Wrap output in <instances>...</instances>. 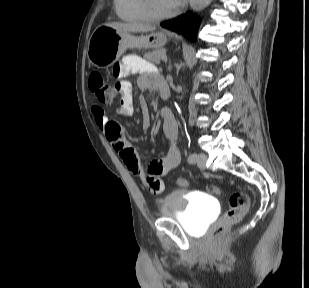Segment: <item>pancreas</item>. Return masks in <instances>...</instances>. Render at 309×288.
I'll return each mask as SVG.
<instances>
[{"label":"pancreas","instance_id":"1","mask_svg":"<svg viewBox=\"0 0 309 288\" xmlns=\"http://www.w3.org/2000/svg\"><path fill=\"white\" fill-rule=\"evenodd\" d=\"M164 54H165V50L164 49H157V50H154V51H152L150 53H146L144 55V59H146L150 63L159 64L160 60L162 59Z\"/></svg>","mask_w":309,"mask_h":288}]
</instances>
